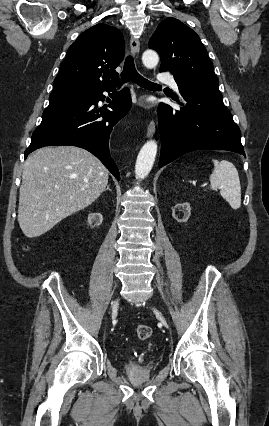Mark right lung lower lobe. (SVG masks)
Instances as JSON below:
<instances>
[{
	"label": "right lung lower lobe",
	"instance_id": "1",
	"mask_svg": "<svg viewBox=\"0 0 269 426\" xmlns=\"http://www.w3.org/2000/svg\"><path fill=\"white\" fill-rule=\"evenodd\" d=\"M115 86L87 92V97L78 105L42 116V122L31 137L25 150V158L44 146L71 145L84 148L94 154L106 168L120 180V174L110 156L109 137L115 124L131 108L128 88L121 90L109 105L113 111L98 109L104 91H113Z\"/></svg>",
	"mask_w": 269,
	"mask_h": 426
}]
</instances>
